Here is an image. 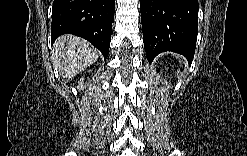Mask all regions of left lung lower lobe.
<instances>
[{
  "label": "left lung lower lobe",
  "instance_id": "left-lung-lower-lobe-1",
  "mask_svg": "<svg viewBox=\"0 0 247 156\" xmlns=\"http://www.w3.org/2000/svg\"><path fill=\"white\" fill-rule=\"evenodd\" d=\"M198 0H140L148 61L172 51L192 62L198 32Z\"/></svg>",
  "mask_w": 247,
  "mask_h": 156
}]
</instances>
